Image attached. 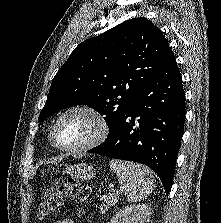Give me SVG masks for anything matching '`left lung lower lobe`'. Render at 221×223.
I'll use <instances>...</instances> for the list:
<instances>
[{
  "instance_id": "obj_1",
  "label": "left lung lower lobe",
  "mask_w": 221,
  "mask_h": 223,
  "mask_svg": "<svg viewBox=\"0 0 221 223\" xmlns=\"http://www.w3.org/2000/svg\"><path fill=\"white\" fill-rule=\"evenodd\" d=\"M185 115L181 74L169 48L163 66L133 99L114 133L88 152L149 166L168 195Z\"/></svg>"
}]
</instances>
